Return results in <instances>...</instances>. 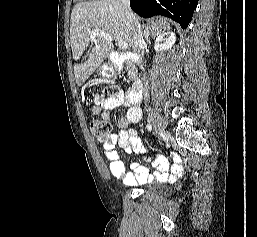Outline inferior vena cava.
Instances as JSON below:
<instances>
[{
    "instance_id": "obj_1",
    "label": "inferior vena cava",
    "mask_w": 257,
    "mask_h": 237,
    "mask_svg": "<svg viewBox=\"0 0 257 237\" xmlns=\"http://www.w3.org/2000/svg\"><path fill=\"white\" fill-rule=\"evenodd\" d=\"M123 11H124V16L128 24L133 28L134 30V42H133V49L137 51L141 57L144 56V47L146 46L145 41L143 39V34L140 29V26L133 15L131 8H130V0H120ZM145 80V76L143 78ZM144 99L148 98V88H147V83H145V89H144Z\"/></svg>"
}]
</instances>
